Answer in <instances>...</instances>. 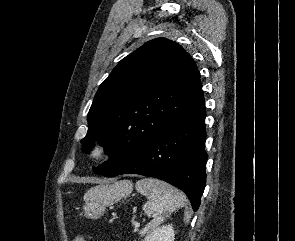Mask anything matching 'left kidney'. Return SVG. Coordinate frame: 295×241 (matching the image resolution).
Listing matches in <instances>:
<instances>
[{
    "label": "left kidney",
    "mask_w": 295,
    "mask_h": 241,
    "mask_svg": "<svg viewBox=\"0 0 295 241\" xmlns=\"http://www.w3.org/2000/svg\"><path fill=\"white\" fill-rule=\"evenodd\" d=\"M175 231L172 224L157 228L144 241H174Z\"/></svg>",
    "instance_id": "left-kidney-1"
}]
</instances>
